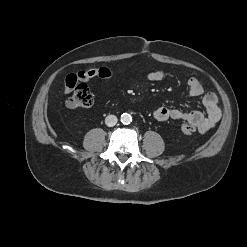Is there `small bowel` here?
<instances>
[{
	"mask_svg": "<svg viewBox=\"0 0 247 247\" xmlns=\"http://www.w3.org/2000/svg\"><path fill=\"white\" fill-rule=\"evenodd\" d=\"M109 79L114 77L111 70L106 67H100L90 70H80L76 73L69 74L65 81V92L70 93L78 82H87L92 78ZM149 81H161L165 78V72L162 70L152 71L147 74ZM188 92L191 97L203 95V104L206 107L207 114L200 111H184L178 108L159 107L153 112V116L158 121L178 120L185 121L198 129L199 133L205 134L211 130L221 118V109L219 100L215 93L207 92L197 78H190L187 82Z\"/></svg>",
	"mask_w": 247,
	"mask_h": 247,
	"instance_id": "small-bowel-1",
	"label": "small bowel"
}]
</instances>
